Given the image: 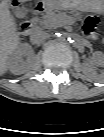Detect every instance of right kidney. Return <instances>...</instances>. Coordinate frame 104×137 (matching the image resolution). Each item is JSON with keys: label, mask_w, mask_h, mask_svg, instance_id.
Instances as JSON below:
<instances>
[{"label": "right kidney", "mask_w": 104, "mask_h": 137, "mask_svg": "<svg viewBox=\"0 0 104 137\" xmlns=\"http://www.w3.org/2000/svg\"><path fill=\"white\" fill-rule=\"evenodd\" d=\"M34 55L33 50L28 44H21L12 53L7 61V69H9L13 74L20 75L24 72L23 62L21 57L27 56L28 58Z\"/></svg>", "instance_id": "right-kidney-1"}]
</instances>
